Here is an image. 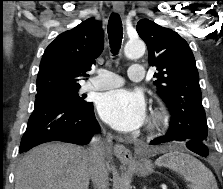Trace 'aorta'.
I'll list each match as a JSON object with an SVG mask.
<instances>
[{
    "label": "aorta",
    "mask_w": 223,
    "mask_h": 189,
    "mask_svg": "<svg viewBox=\"0 0 223 189\" xmlns=\"http://www.w3.org/2000/svg\"><path fill=\"white\" fill-rule=\"evenodd\" d=\"M145 49V43L142 40H129L124 46V54L128 59H137L144 55Z\"/></svg>",
    "instance_id": "obj_1"
}]
</instances>
